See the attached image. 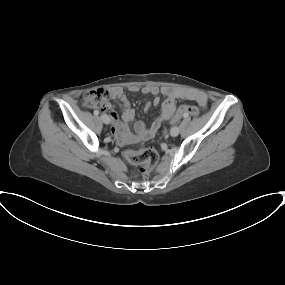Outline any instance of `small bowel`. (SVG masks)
<instances>
[{"label": "small bowel", "instance_id": "small-bowel-1", "mask_svg": "<svg viewBox=\"0 0 285 285\" xmlns=\"http://www.w3.org/2000/svg\"><path fill=\"white\" fill-rule=\"evenodd\" d=\"M131 92H137V86L129 88ZM111 98L116 100L122 110L121 119L115 112H111L113 122V133L118 141L122 144H132L139 141H146L155 136L161 125L169 120L176 108L177 99H187L196 102L201 108L207 106V97L202 92L196 91H179L169 87L159 88L155 85H147L142 88L144 94L154 96L152 103L147 102L144 106L145 111H148L151 105L157 106L160 104L159 94L162 93L165 99L162 103L158 117L147 127L142 121H134L135 111L121 87H112L109 90Z\"/></svg>", "mask_w": 285, "mask_h": 285}]
</instances>
